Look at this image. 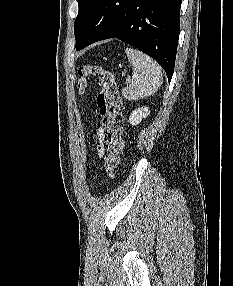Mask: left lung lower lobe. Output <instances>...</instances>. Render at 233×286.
<instances>
[{
  "instance_id": "1",
  "label": "left lung lower lobe",
  "mask_w": 233,
  "mask_h": 286,
  "mask_svg": "<svg viewBox=\"0 0 233 286\" xmlns=\"http://www.w3.org/2000/svg\"><path fill=\"white\" fill-rule=\"evenodd\" d=\"M182 0H99L76 50L114 38L154 58L171 81L180 31Z\"/></svg>"
}]
</instances>
